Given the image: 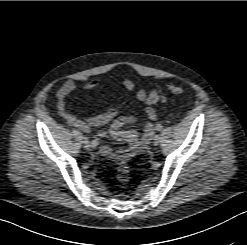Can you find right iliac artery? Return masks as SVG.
Wrapping results in <instances>:
<instances>
[{
	"label": "right iliac artery",
	"instance_id": "82829eb1",
	"mask_svg": "<svg viewBox=\"0 0 247 245\" xmlns=\"http://www.w3.org/2000/svg\"><path fill=\"white\" fill-rule=\"evenodd\" d=\"M97 146H98V140L97 139H93L91 141L90 147L96 148Z\"/></svg>",
	"mask_w": 247,
	"mask_h": 245
}]
</instances>
